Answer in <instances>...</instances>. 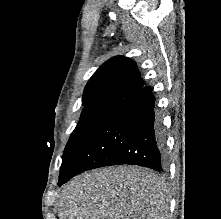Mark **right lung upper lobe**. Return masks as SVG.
Instances as JSON below:
<instances>
[{
  "label": "right lung upper lobe",
  "mask_w": 221,
  "mask_h": 219,
  "mask_svg": "<svg viewBox=\"0 0 221 219\" xmlns=\"http://www.w3.org/2000/svg\"><path fill=\"white\" fill-rule=\"evenodd\" d=\"M144 86L135 62L117 56L104 63L87 83L83 104L103 100L122 101Z\"/></svg>",
  "instance_id": "obj_1"
}]
</instances>
